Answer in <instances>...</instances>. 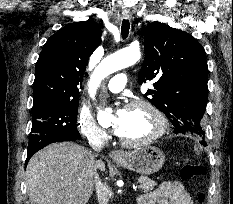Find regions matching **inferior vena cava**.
Returning <instances> with one entry per match:
<instances>
[{"label": "inferior vena cava", "instance_id": "obj_1", "mask_svg": "<svg viewBox=\"0 0 233 204\" xmlns=\"http://www.w3.org/2000/svg\"><path fill=\"white\" fill-rule=\"evenodd\" d=\"M90 146L92 147V149L99 153L105 144V141L100 137V136H96L94 138H92L90 140ZM98 160L99 157L98 156H94L93 157V166H92V171H94V183H95V187H96V192L98 194V201L99 204H106V199H107V192H106V188L105 185L103 184V182L101 181L98 173H97V169H98Z\"/></svg>", "mask_w": 233, "mask_h": 204}]
</instances>
